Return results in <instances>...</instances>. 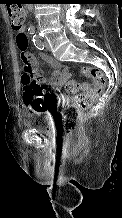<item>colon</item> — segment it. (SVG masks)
<instances>
[{"instance_id": "5ec220e1", "label": "colon", "mask_w": 122, "mask_h": 218, "mask_svg": "<svg viewBox=\"0 0 122 218\" xmlns=\"http://www.w3.org/2000/svg\"><path fill=\"white\" fill-rule=\"evenodd\" d=\"M8 12L11 18L12 28L17 32L16 45L23 61L21 80L24 84V105L31 112H41L42 108L36 102L35 94L38 91H45V87L39 86L32 81L30 67L27 64L29 40L27 35L21 31L25 21V10L20 4L10 3L8 4ZM82 73L93 81V89H87L85 84L77 80H70L66 83V91L73 96L72 102L64 107L62 113L64 129L67 133H71L76 129L82 112L92 106L94 97L103 92L106 87V78L100 69L85 66L82 68Z\"/></svg>"}]
</instances>
